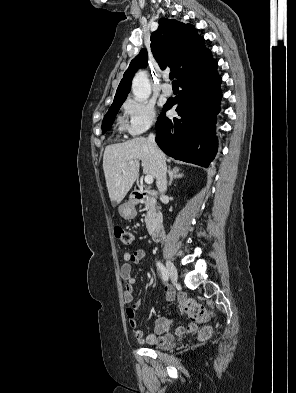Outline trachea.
<instances>
[{"label":"trachea","instance_id":"3493384b","mask_svg":"<svg viewBox=\"0 0 296 393\" xmlns=\"http://www.w3.org/2000/svg\"><path fill=\"white\" fill-rule=\"evenodd\" d=\"M169 77H170V80H172L173 84L176 83V81L174 80V77H175V73L174 72H170Z\"/></svg>","mask_w":296,"mask_h":393}]
</instances>
